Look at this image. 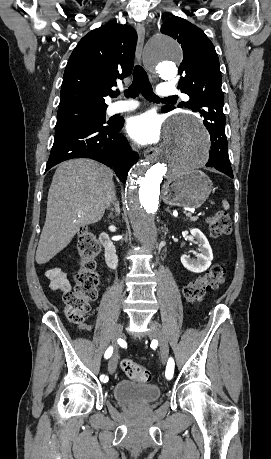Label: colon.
<instances>
[{
  "label": "colon",
  "mask_w": 271,
  "mask_h": 459,
  "mask_svg": "<svg viewBox=\"0 0 271 459\" xmlns=\"http://www.w3.org/2000/svg\"><path fill=\"white\" fill-rule=\"evenodd\" d=\"M211 235L214 238L226 236L231 231V222L228 214L224 211H217L207 220ZM77 250L80 256V268L74 274L75 284L73 290L63 295L66 308V316L72 323H80L89 313L91 302L97 296V289L100 278L95 271V258L100 247L94 234L86 227L78 232ZM226 269L223 264L213 265L204 275L191 281L184 288V296L188 302L197 303L202 300L206 292L221 286L225 280ZM123 372L138 382L147 383L151 380L150 372L132 361L124 359L121 361Z\"/></svg>",
  "instance_id": "obj_1"
}]
</instances>
